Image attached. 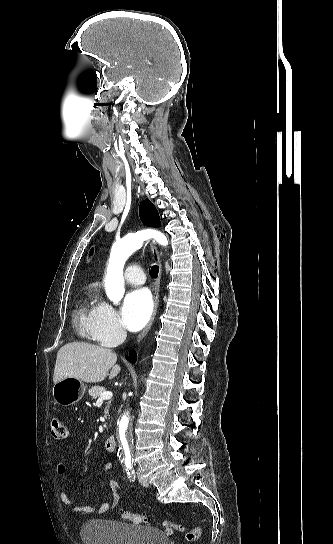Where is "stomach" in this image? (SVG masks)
Listing matches in <instances>:
<instances>
[{"instance_id":"obj_1","label":"stomach","mask_w":333,"mask_h":544,"mask_svg":"<svg viewBox=\"0 0 333 544\" xmlns=\"http://www.w3.org/2000/svg\"><path fill=\"white\" fill-rule=\"evenodd\" d=\"M84 383L76 378L67 377L53 386V398L62 406H70L77 403L85 394Z\"/></svg>"}]
</instances>
